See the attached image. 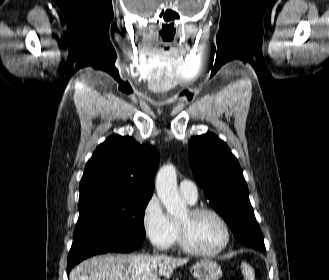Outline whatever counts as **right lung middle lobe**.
<instances>
[{
    "label": "right lung middle lobe",
    "instance_id": "obj_1",
    "mask_svg": "<svg viewBox=\"0 0 329 280\" xmlns=\"http://www.w3.org/2000/svg\"><path fill=\"white\" fill-rule=\"evenodd\" d=\"M150 198L129 195L79 202L80 215L68 262L89 247L102 243L139 248L145 238L144 210Z\"/></svg>",
    "mask_w": 329,
    "mask_h": 280
}]
</instances>
